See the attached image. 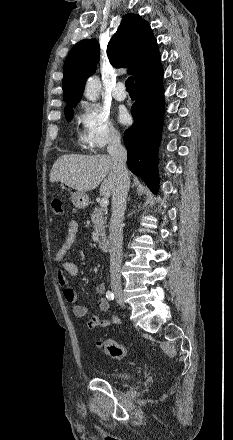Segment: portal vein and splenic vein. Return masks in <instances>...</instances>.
<instances>
[{
	"label": "portal vein and splenic vein",
	"instance_id": "18ae733b",
	"mask_svg": "<svg viewBox=\"0 0 233 440\" xmlns=\"http://www.w3.org/2000/svg\"><path fill=\"white\" fill-rule=\"evenodd\" d=\"M108 204H109V200H108V198H107V197H103V198L101 199V201H100V206H101V207H107Z\"/></svg>",
	"mask_w": 233,
	"mask_h": 440
}]
</instances>
